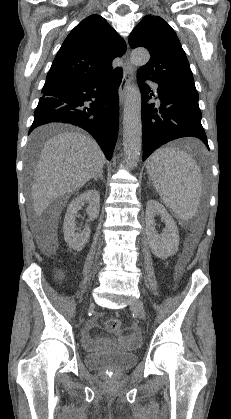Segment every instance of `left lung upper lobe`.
I'll return each mask as SVG.
<instances>
[{"label":"left lung upper lobe","mask_w":231,"mask_h":419,"mask_svg":"<svg viewBox=\"0 0 231 419\" xmlns=\"http://www.w3.org/2000/svg\"><path fill=\"white\" fill-rule=\"evenodd\" d=\"M132 48L145 47L151 58L138 73L159 85L197 92L192 71L181 43L170 25L159 16L148 15L129 36Z\"/></svg>","instance_id":"left-lung-upper-lobe-1"}]
</instances>
